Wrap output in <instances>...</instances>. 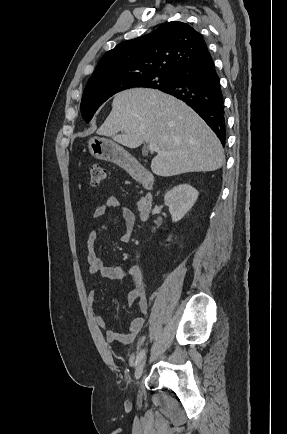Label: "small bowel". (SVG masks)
Returning a JSON list of instances; mask_svg holds the SVG:
<instances>
[{
  "mask_svg": "<svg viewBox=\"0 0 287 434\" xmlns=\"http://www.w3.org/2000/svg\"><path fill=\"white\" fill-rule=\"evenodd\" d=\"M110 208H114L119 211L124 227L123 233L121 235V241L123 243H128L131 239L134 228V214L130 208L121 204V202L115 196L108 197L105 204L97 206L93 212V218L100 219L104 217ZM96 240V232L90 231L86 239L89 274H99L104 278L114 280L122 279L126 274L129 275L131 280V288L128 293L127 301L130 306L135 303L138 304L140 315L134 318L129 324L128 328L121 333L110 329L108 321L104 317L97 316L95 318V322L98 327L105 330V337L107 341L129 344L134 341V339L142 331L148 313V300L146 296L143 273L141 268L137 265L111 266L104 264V262L95 253L94 245ZM95 298V292L91 291L88 294V302L92 307Z\"/></svg>",
  "mask_w": 287,
  "mask_h": 434,
  "instance_id": "c3829d8e",
  "label": "small bowel"
}]
</instances>
